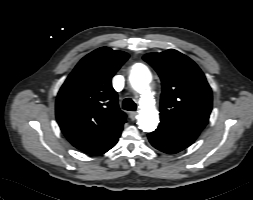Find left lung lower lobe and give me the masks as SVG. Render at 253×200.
I'll list each match as a JSON object with an SVG mask.
<instances>
[{"mask_svg":"<svg viewBox=\"0 0 253 200\" xmlns=\"http://www.w3.org/2000/svg\"><path fill=\"white\" fill-rule=\"evenodd\" d=\"M199 134L200 132L197 130L168 121H160L158 128L148 134V139L156 149L174 154L190 146Z\"/></svg>","mask_w":253,"mask_h":200,"instance_id":"left-lung-lower-lobe-1","label":"left lung lower lobe"}]
</instances>
